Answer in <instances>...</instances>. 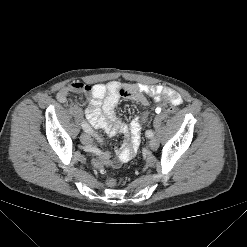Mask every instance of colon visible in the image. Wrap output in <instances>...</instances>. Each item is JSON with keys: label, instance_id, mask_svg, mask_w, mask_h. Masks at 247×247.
<instances>
[{"label": "colon", "instance_id": "colon-1", "mask_svg": "<svg viewBox=\"0 0 247 247\" xmlns=\"http://www.w3.org/2000/svg\"><path fill=\"white\" fill-rule=\"evenodd\" d=\"M156 110H157V112H159V111H164V112H166V113H168V114H175V112H176L175 107H174L173 105L169 104V103H164V104H162L161 107L157 108ZM147 117H148V114H146V115L144 116V120H146ZM94 167H95L101 174L104 175V174L106 173V170H105V168H104V164H103L102 162H100V161L95 162V163H94ZM106 183H107V185H108L109 187H113V186L115 185L116 182H115V180H114L113 178L108 177Z\"/></svg>", "mask_w": 247, "mask_h": 247}]
</instances>
